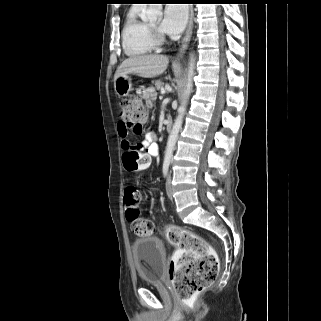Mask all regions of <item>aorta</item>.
Returning <instances> with one entry per match:
<instances>
[{
    "label": "aorta",
    "instance_id": "762f6f07",
    "mask_svg": "<svg viewBox=\"0 0 321 321\" xmlns=\"http://www.w3.org/2000/svg\"><path fill=\"white\" fill-rule=\"evenodd\" d=\"M162 16V4H149L146 12L145 18L149 20L160 19ZM195 74V57L190 54L188 70H187V80L183 93L182 103L178 108V115L173 124L172 130L169 134L167 146L165 150L164 163L170 164L173 157V151L177 142L179 131L182 127L183 118L186 112V107L188 103L189 96L193 88V76Z\"/></svg>",
    "mask_w": 321,
    "mask_h": 321
}]
</instances>
